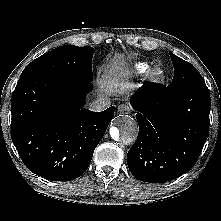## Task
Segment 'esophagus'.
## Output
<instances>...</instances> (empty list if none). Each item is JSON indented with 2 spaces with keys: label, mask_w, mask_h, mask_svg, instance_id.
I'll return each instance as SVG.
<instances>
[{
  "label": "esophagus",
  "mask_w": 221,
  "mask_h": 221,
  "mask_svg": "<svg viewBox=\"0 0 221 221\" xmlns=\"http://www.w3.org/2000/svg\"><path fill=\"white\" fill-rule=\"evenodd\" d=\"M117 109L120 114H128L131 111V107L128 104H120Z\"/></svg>",
  "instance_id": "34e87169"
}]
</instances>
